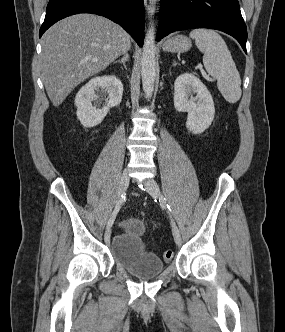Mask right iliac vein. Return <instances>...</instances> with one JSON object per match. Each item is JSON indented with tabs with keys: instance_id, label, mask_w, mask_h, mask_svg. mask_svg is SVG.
<instances>
[{
	"instance_id": "right-iliac-vein-1",
	"label": "right iliac vein",
	"mask_w": 285,
	"mask_h": 332,
	"mask_svg": "<svg viewBox=\"0 0 285 332\" xmlns=\"http://www.w3.org/2000/svg\"><path fill=\"white\" fill-rule=\"evenodd\" d=\"M128 186H129L128 171L124 170V172L121 176V179H120V183H119L118 198H120V196L126 192ZM110 237H111V229L108 228L105 232V235H104V240H105L106 243L109 242Z\"/></svg>"
}]
</instances>
